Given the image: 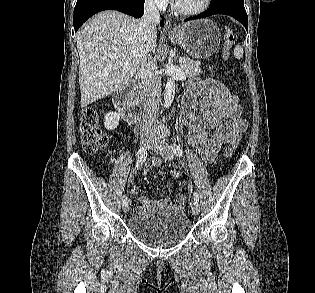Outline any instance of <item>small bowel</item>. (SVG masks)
Listing matches in <instances>:
<instances>
[{
	"label": "small bowel",
	"mask_w": 315,
	"mask_h": 293,
	"mask_svg": "<svg viewBox=\"0 0 315 293\" xmlns=\"http://www.w3.org/2000/svg\"><path fill=\"white\" fill-rule=\"evenodd\" d=\"M199 101V102H198ZM199 105L200 114L196 113ZM242 108L238 98L218 80L206 78L192 84L183 99L181 120L188 128V140L207 162L215 159L222 144L236 147L247 129V122L241 117ZM159 158H152L147 168L160 167ZM176 175L175 172H173ZM169 198L151 200L140 198V207L135 212L142 213L154 207H169Z\"/></svg>",
	"instance_id": "c3829d8e"
}]
</instances>
